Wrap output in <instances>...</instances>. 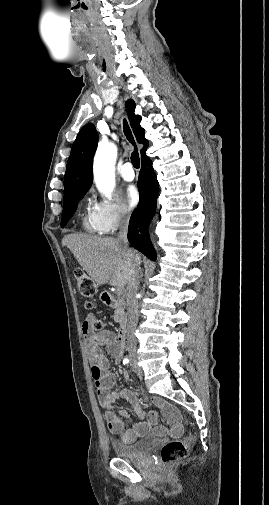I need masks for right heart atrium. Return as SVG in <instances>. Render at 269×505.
<instances>
[{
	"label": "right heart atrium",
	"instance_id": "obj_1",
	"mask_svg": "<svg viewBox=\"0 0 269 505\" xmlns=\"http://www.w3.org/2000/svg\"><path fill=\"white\" fill-rule=\"evenodd\" d=\"M96 220L103 233L115 231L130 218L129 209L120 201L101 200L95 203Z\"/></svg>",
	"mask_w": 269,
	"mask_h": 505
}]
</instances>
